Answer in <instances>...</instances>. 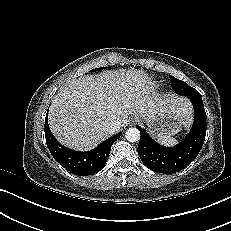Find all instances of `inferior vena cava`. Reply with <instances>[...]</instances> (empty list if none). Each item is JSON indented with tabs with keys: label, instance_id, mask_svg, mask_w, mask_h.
<instances>
[{
	"label": "inferior vena cava",
	"instance_id": "inferior-vena-cava-1",
	"mask_svg": "<svg viewBox=\"0 0 231 231\" xmlns=\"http://www.w3.org/2000/svg\"><path fill=\"white\" fill-rule=\"evenodd\" d=\"M123 127V123L120 120H112L108 123V129L112 132H118Z\"/></svg>",
	"mask_w": 231,
	"mask_h": 231
}]
</instances>
